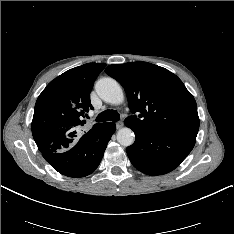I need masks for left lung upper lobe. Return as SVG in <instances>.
Wrapping results in <instances>:
<instances>
[{
  "mask_svg": "<svg viewBox=\"0 0 234 234\" xmlns=\"http://www.w3.org/2000/svg\"><path fill=\"white\" fill-rule=\"evenodd\" d=\"M105 72L124 87L131 112H140L125 121L149 129L198 132L195 99L175 74L148 62L114 64Z\"/></svg>",
  "mask_w": 234,
  "mask_h": 234,
  "instance_id": "5c2ea615",
  "label": "left lung upper lobe"
}]
</instances>
